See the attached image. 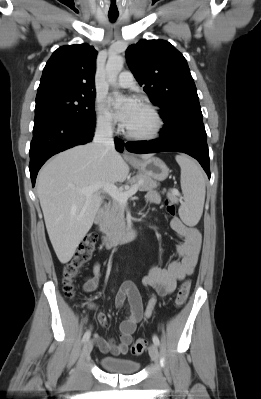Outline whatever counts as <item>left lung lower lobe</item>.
<instances>
[{"mask_svg":"<svg viewBox=\"0 0 261 399\" xmlns=\"http://www.w3.org/2000/svg\"><path fill=\"white\" fill-rule=\"evenodd\" d=\"M126 147L128 151L138 154L163 151L186 153L198 160L210 179L207 135L202 119L188 121L151 141L128 142Z\"/></svg>","mask_w":261,"mask_h":399,"instance_id":"obj_1","label":"left lung lower lobe"}]
</instances>
